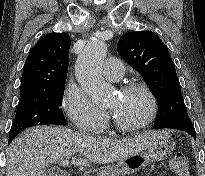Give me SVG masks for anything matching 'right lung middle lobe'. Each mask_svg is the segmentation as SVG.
Segmentation results:
<instances>
[{
  "mask_svg": "<svg viewBox=\"0 0 205 176\" xmlns=\"http://www.w3.org/2000/svg\"><path fill=\"white\" fill-rule=\"evenodd\" d=\"M64 89L65 83L20 96L9 138H15L25 128L36 125H67L59 108Z\"/></svg>",
  "mask_w": 205,
  "mask_h": 176,
  "instance_id": "obj_1",
  "label": "right lung middle lobe"
}]
</instances>
